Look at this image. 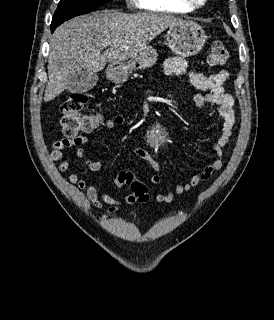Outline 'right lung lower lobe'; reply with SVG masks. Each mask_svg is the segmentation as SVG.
<instances>
[{"label":"right lung lower lobe","instance_id":"right-lung-lower-lobe-1","mask_svg":"<svg viewBox=\"0 0 274 320\" xmlns=\"http://www.w3.org/2000/svg\"><path fill=\"white\" fill-rule=\"evenodd\" d=\"M55 29H56V27H51V32H53Z\"/></svg>","mask_w":274,"mask_h":320}]
</instances>
